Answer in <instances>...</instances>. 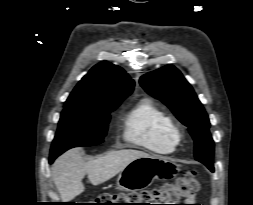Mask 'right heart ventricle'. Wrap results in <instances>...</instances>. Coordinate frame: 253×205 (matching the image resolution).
Masks as SVG:
<instances>
[{
	"mask_svg": "<svg viewBox=\"0 0 253 205\" xmlns=\"http://www.w3.org/2000/svg\"><path fill=\"white\" fill-rule=\"evenodd\" d=\"M171 116L153 101L144 99L131 108L123 119V139L155 153H170L178 140Z\"/></svg>",
	"mask_w": 253,
	"mask_h": 205,
	"instance_id": "right-heart-ventricle-1",
	"label": "right heart ventricle"
}]
</instances>
